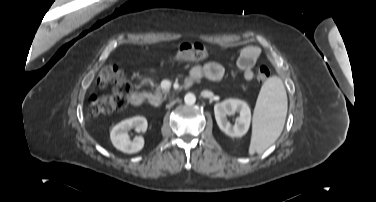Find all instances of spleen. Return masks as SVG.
<instances>
[{
    "label": "spleen",
    "mask_w": 376,
    "mask_h": 202,
    "mask_svg": "<svg viewBox=\"0 0 376 202\" xmlns=\"http://www.w3.org/2000/svg\"><path fill=\"white\" fill-rule=\"evenodd\" d=\"M288 109L287 95L282 80L268 78L261 87L253 115V132L249 154L262 152L280 136Z\"/></svg>",
    "instance_id": "obj_1"
}]
</instances>
